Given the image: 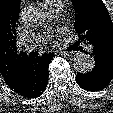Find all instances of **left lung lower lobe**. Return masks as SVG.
<instances>
[{
    "mask_svg": "<svg viewBox=\"0 0 113 113\" xmlns=\"http://www.w3.org/2000/svg\"><path fill=\"white\" fill-rule=\"evenodd\" d=\"M91 45L95 66L91 72L77 74L76 80L82 89L93 92L105 88L113 78V50L97 43Z\"/></svg>",
    "mask_w": 113,
    "mask_h": 113,
    "instance_id": "obj_1",
    "label": "left lung lower lobe"
}]
</instances>
